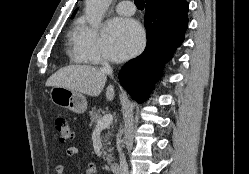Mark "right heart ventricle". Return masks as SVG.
Returning <instances> with one entry per match:
<instances>
[{"label": "right heart ventricle", "instance_id": "obj_1", "mask_svg": "<svg viewBox=\"0 0 249 174\" xmlns=\"http://www.w3.org/2000/svg\"><path fill=\"white\" fill-rule=\"evenodd\" d=\"M81 28H82V26H81L80 21H76L73 24V26L69 32V45H70L69 54L74 62L87 63L78 55V53L76 51V40H77V37L79 35Z\"/></svg>", "mask_w": 249, "mask_h": 174}]
</instances>
